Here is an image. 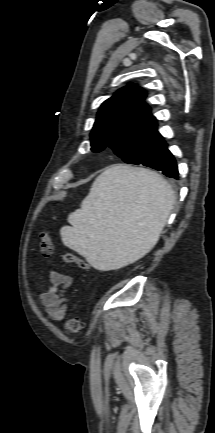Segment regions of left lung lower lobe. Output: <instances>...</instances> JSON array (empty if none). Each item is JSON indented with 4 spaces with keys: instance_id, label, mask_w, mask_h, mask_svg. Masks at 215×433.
<instances>
[{
    "instance_id": "1",
    "label": "left lung lower lobe",
    "mask_w": 215,
    "mask_h": 433,
    "mask_svg": "<svg viewBox=\"0 0 215 433\" xmlns=\"http://www.w3.org/2000/svg\"><path fill=\"white\" fill-rule=\"evenodd\" d=\"M156 170L161 171L164 175L178 179V168L174 156L167 149V143L165 144V148L162 155V160L160 164L155 168Z\"/></svg>"
}]
</instances>
